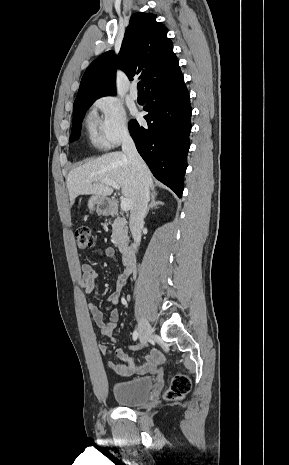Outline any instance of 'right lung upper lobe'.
Segmentation results:
<instances>
[{"label": "right lung upper lobe", "mask_w": 289, "mask_h": 465, "mask_svg": "<svg viewBox=\"0 0 289 465\" xmlns=\"http://www.w3.org/2000/svg\"><path fill=\"white\" fill-rule=\"evenodd\" d=\"M166 35L167 28L156 22L154 14H133L118 56L114 51H107L90 64L81 79L74 104L113 95L116 66L130 80L140 75L145 92L183 77L172 41Z\"/></svg>", "instance_id": "cb5924a9"}]
</instances>
